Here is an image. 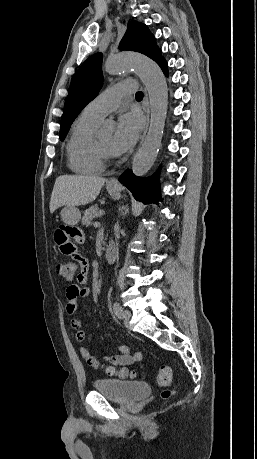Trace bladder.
Returning <instances> with one entry per match:
<instances>
[{"instance_id": "1", "label": "bladder", "mask_w": 257, "mask_h": 459, "mask_svg": "<svg viewBox=\"0 0 257 459\" xmlns=\"http://www.w3.org/2000/svg\"><path fill=\"white\" fill-rule=\"evenodd\" d=\"M94 389L105 397L125 405L133 404L150 394V387L141 381L98 378Z\"/></svg>"}]
</instances>
